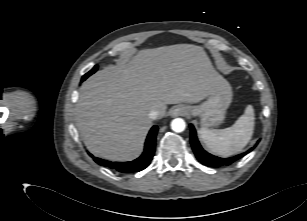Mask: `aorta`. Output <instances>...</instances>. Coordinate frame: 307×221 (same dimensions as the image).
<instances>
[{
	"label": "aorta",
	"mask_w": 307,
	"mask_h": 221,
	"mask_svg": "<svg viewBox=\"0 0 307 221\" xmlns=\"http://www.w3.org/2000/svg\"><path fill=\"white\" fill-rule=\"evenodd\" d=\"M186 128V123L182 118L173 119L171 122V129L174 132L180 133L183 132Z\"/></svg>",
	"instance_id": "762f6f07"
}]
</instances>
